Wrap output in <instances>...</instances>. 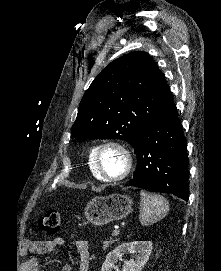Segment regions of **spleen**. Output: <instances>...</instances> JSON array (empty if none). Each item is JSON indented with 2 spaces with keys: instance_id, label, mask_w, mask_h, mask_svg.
Listing matches in <instances>:
<instances>
[{
  "instance_id": "obj_1",
  "label": "spleen",
  "mask_w": 221,
  "mask_h": 271,
  "mask_svg": "<svg viewBox=\"0 0 221 271\" xmlns=\"http://www.w3.org/2000/svg\"><path fill=\"white\" fill-rule=\"evenodd\" d=\"M140 195L139 219L142 225H153L167 215L169 205L165 197L158 195V193H150L145 189H141Z\"/></svg>"
}]
</instances>
